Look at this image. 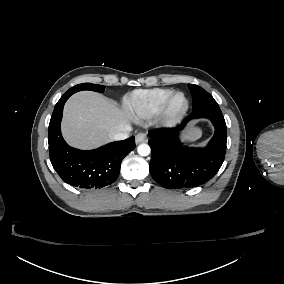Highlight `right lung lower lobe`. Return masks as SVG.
<instances>
[{"mask_svg":"<svg viewBox=\"0 0 284 284\" xmlns=\"http://www.w3.org/2000/svg\"><path fill=\"white\" fill-rule=\"evenodd\" d=\"M65 93L56 104L49 124V154L61 179L84 190H96L111 185L120 172L123 158L135 148L132 136L98 149L83 151L70 147L63 139L60 123L63 107L71 96Z\"/></svg>","mask_w":284,"mask_h":284,"instance_id":"98d812e1","label":"right lung lower lobe"}]
</instances>
